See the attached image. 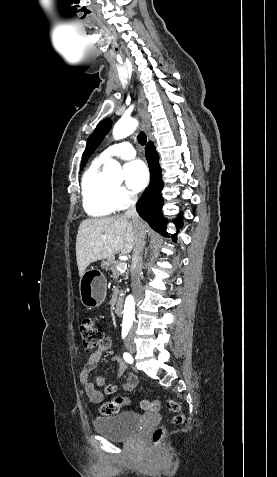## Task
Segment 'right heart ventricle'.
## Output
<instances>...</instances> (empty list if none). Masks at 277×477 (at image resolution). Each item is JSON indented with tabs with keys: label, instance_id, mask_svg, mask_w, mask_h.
<instances>
[{
	"label": "right heart ventricle",
	"instance_id": "e07e8e85",
	"mask_svg": "<svg viewBox=\"0 0 277 477\" xmlns=\"http://www.w3.org/2000/svg\"><path fill=\"white\" fill-rule=\"evenodd\" d=\"M103 163L99 159H95L82 176V205L85 212L91 217H106L117 210L114 187L101 170Z\"/></svg>",
	"mask_w": 277,
	"mask_h": 477
}]
</instances>
